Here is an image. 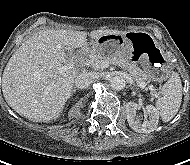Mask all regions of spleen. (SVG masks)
Listing matches in <instances>:
<instances>
[{
	"label": "spleen",
	"mask_w": 190,
	"mask_h": 165,
	"mask_svg": "<svg viewBox=\"0 0 190 165\" xmlns=\"http://www.w3.org/2000/svg\"><path fill=\"white\" fill-rule=\"evenodd\" d=\"M182 101V83L177 72H173L163 85L156 109L164 122H169L178 112Z\"/></svg>",
	"instance_id": "1"
}]
</instances>
